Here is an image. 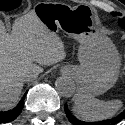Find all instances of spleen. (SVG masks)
I'll list each match as a JSON object with an SVG mask.
<instances>
[{"label": "spleen", "mask_w": 125, "mask_h": 125, "mask_svg": "<svg viewBox=\"0 0 125 125\" xmlns=\"http://www.w3.org/2000/svg\"><path fill=\"white\" fill-rule=\"evenodd\" d=\"M122 105L120 100L105 102L78 90L74 98L72 111L79 119L99 121L114 116Z\"/></svg>", "instance_id": "spleen-1"}]
</instances>
